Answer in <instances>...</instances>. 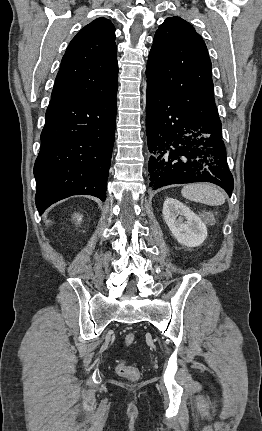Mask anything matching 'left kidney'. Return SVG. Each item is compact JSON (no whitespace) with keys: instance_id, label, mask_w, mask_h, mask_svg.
Listing matches in <instances>:
<instances>
[{"instance_id":"5707ae66","label":"left kidney","mask_w":262,"mask_h":431,"mask_svg":"<svg viewBox=\"0 0 262 431\" xmlns=\"http://www.w3.org/2000/svg\"><path fill=\"white\" fill-rule=\"evenodd\" d=\"M163 216L174 238L187 247L200 246L207 238V228L188 207L173 198L163 204Z\"/></svg>"}]
</instances>
